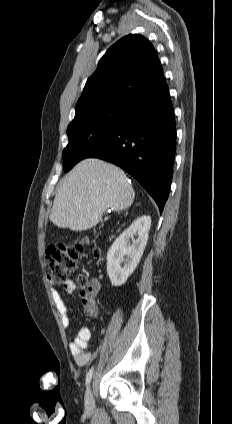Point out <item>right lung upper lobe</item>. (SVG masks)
Returning a JSON list of instances; mask_svg holds the SVG:
<instances>
[{
	"label": "right lung upper lobe",
	"mask_w": 232,
	"mask_h": 424,
	"mask_svg": "<svg viewBox=\"0 0 232 424\" xmlns=\"http://www.w3.org/2000/svg\"><path fill=\"white\" fill-rule=\"evenodd\" d=\"M165 83L155 49L143 36L131 34L111 46L87 80L76 113L103 104L133 105Z\"/></svg>",
	"instance_id": "cb5924a9"
}]
</instances>
